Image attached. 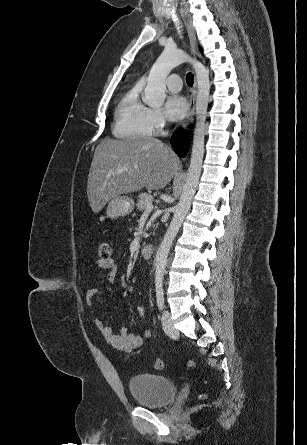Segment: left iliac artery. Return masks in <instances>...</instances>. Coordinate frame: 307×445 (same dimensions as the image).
I'll use <instances>...</instances> for the list:
<instances>
[{"instance_id":"44dca946","label":"left iliac artery","mask_w":307,"mask_h":445,"mask_svg":"<svg viewBox=\"0 0 307 445\" xmlns=\"http://www.w3.org/2000/svg\"><path fill=\"white\" fill-rule=\"evenodd\" d=\"M157 305L160 310L164 307V292L162 289L156 290Z\"/></svg>"}]
</instances>
